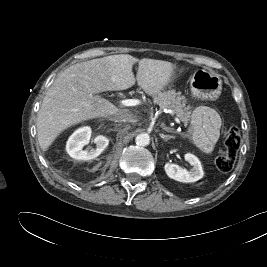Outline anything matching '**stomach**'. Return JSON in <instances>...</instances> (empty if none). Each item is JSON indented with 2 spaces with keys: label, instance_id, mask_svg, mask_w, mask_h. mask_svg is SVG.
Here are the masks:
<instances>
[{
  "label": "stomach",
  "instance_id": "stomach-1",
  "mask_svg": "<svg viewBox=\"0 0 267 267\" xmlns=\"http://www.w3.org/2000/svg\"><path fill=\"white\" fill-rule=\"evenodd\" d=\"M181 69V66H176ZM190 87L193 97L200 100H216L222 91L221 78L206 70H196L191 77Z\"/></svg>",
  "mask_w": 267,
  "mask_h": 267
}]
</instances>
